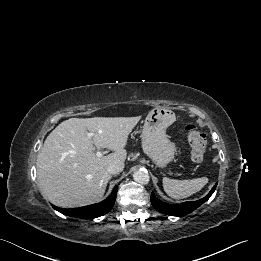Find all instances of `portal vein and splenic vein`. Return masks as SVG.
Instances as JSON below:
<instances>
[{
  "label": "portal vein and splenic vein",
  "mask_w": 261,
  "mask_h": 261,
  "mask_svg": "<svg viewBox=\"0 0 261 261\" xmlns=\"http://www.w3.org/2000/svg\"><path fill=\"white\" fill-rule=\"evenodd\" d=\"M92 136H93L92 133H88V135H87V137H88L89 140L92 139ZM96 155H97L98 157H101V156H102V152H101V151H97Z\"/></svg>",
  "instance_id": "1"
}]
</instances>
